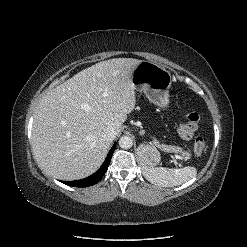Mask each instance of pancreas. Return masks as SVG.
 Returning a JSON list of instances; mask_svg holds the SVG:
<instances>
[{
    "mask_svg": "<svg viewBox=\"0 0 247 247\" xmlns=\"http://www.w3.org/2000/svg\"><path fill=\"white\" fill-rule=\"evenodd\" d=\"M161 148L166 152L182 153L183 156L189 155L188 152L183 151V149L179 146L162 145Z\"/></svg>",
    "mask_w": 247,
    "mask_h": 247,
    "instance_id": "1",
    "label": "pancreas"
}]
</instances>
